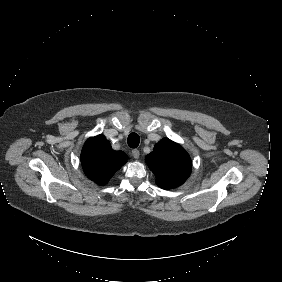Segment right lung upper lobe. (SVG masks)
I'll return each instance as SVG.
<instances>
[{
    "label": "right lung upper lobe",
    "mask_w": 282,
    "mask_h": 282,
    "mask_svg": "<svg viewBox=\"0 0 282 282\" xmlns=\"http://www.w3.org/2000/svg\"><path fill=\"white\" fill-rule=\"evenodd\" d=\"M126 161V154L112 150L103 135L89 138L81 152V163L86 176L98 185L107 184Z\"/></svg>",
    "instance_id": "cb5924a9"
}]
</instances>
